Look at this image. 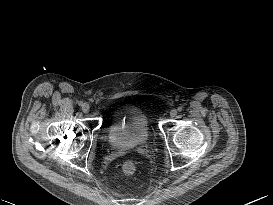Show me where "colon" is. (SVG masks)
Masks as SVG:
<instances>
[{"instance_id": "1", "label": "colon", "mask_w": 273, "mask_h": 205, "mask_svg": "<svg viewBox=\"0 0 273 205\" xmlns=\"http://www.w3.org/2000/svg\"><path fill=\"white\" fill-rule=\"evenodd\" d=\"M125 175H133L136 171V165L132 161H127L122 166Z\"/></svg>"}]
</instances>
